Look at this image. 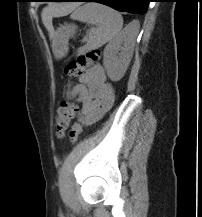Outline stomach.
Masks as SVG:
<instances>
[{
  "mask_svg": "<svg viewBox=\"0 0 202 217\" xmlns=\"http://www.w3.org/2000/svg\"><path fill=\"white\" fill-rule=\"evenodd\" d=\"M75 26L65 25L57 31L54 37L53 53L56 58L61 59L68 52V40L75 33Z\"/></svg>",
  "mask_w": 202,
  "mask_h": 217,
  "instance_id": "stomach-1",
  "label": "stomach"
}]
</instances>
